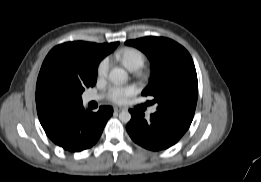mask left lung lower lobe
Segmentation results:
<instances>
[{
  "label": "left lung lower lobe",
  "instance_id": "left-lung-lower-lobe-1",
  "mask_svg": "<svg viewBox=\"0 0 261 182\" xmlns=\"http://www.w3.org/2000/svg\"><path fill=\"white\" fill-rule=\"evenodd\" d=\"M132 118L126 125L132 140L140 146L158 151L174 145L188 130L193 116L155 112L150 119L137 110H129Z\"/></svg>",
  "mask_w": 261,
  "mask_h": 182
}]
</instances>
